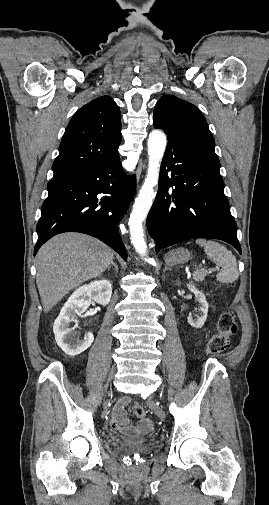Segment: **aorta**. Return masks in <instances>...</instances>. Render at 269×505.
<instances>
[{"mask_svg":"<svg viewBox=\"0 0 269 505\" xmlns=\"http://www.w3.org/2000/svg\"><path fill=\"white\" fill-rule=\"evenodd\" d=\"M166 135L160 130H153L148 137V169L145 181L133 204L129 219L130 238L136 252L146 256L147 245L144 240L143 222L146 219L156 196L161 161L166 149Z\"/></svg>","mask_w":269,"mask_h":505,"instance_id":"obj_1","label":"aorta"}]
</instances>
